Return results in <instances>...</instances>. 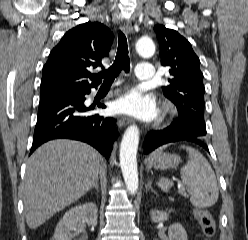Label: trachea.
Instances as JSON below:
<instances>
[{
    "mask_svg": "<svg viewBox=\"0 0 248 240\" xmlns=\"http://www.w3.org/2000/svg\"><path fill=\"white\" fill-rule=\"evenodd\" d=\"M128 53L127 38L125 34L120 31L118 35V50L114 63L107 70L97 74L99 78H104V84H111L121 70H124L126 73L129 72L130 59Z\"/></svg>",
    "mask_w": 248,
    "mask_h": 240,
    "instance_id": "1",
    "label": "trachea"
}]
</instances>
